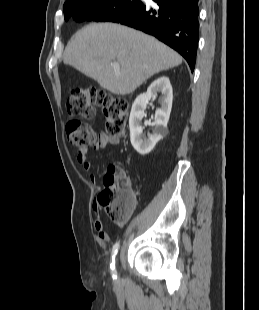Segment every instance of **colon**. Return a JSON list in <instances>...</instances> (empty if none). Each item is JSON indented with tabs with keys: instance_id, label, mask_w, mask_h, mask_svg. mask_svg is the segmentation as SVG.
<instances>
[{
	"instance_id": "colon-1",
	"label": "colon",
	"mask_w": 259,
	"mask_h": 310,
	"mask_svg": "<svg viewBox=\"0 0 259 310\" xmlns=\"http://www.w3.org/2000/svg\"><path fill=\"white\" fill-rule=\"evenodd\" d=\"M98 109L104 114L108 135L119 137L124 133L128 102L95 87H80L74 89L67 100L66 133L70 143L80 148L97 144L96 133L86 119L94 117ZM103 182L105 188L97 197V205L110 221L120 224L129 217L135 205L131 186L116 165L107 168Z\"/></svg>"
}]
</instances>
